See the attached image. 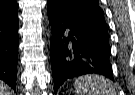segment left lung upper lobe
<instances>
[{
  "label": "left lung upper lobe",
  "mask_w": 135,
  "mask_h": 95,
  "mask_svg": "<svg viewBox=\"0 0 135 95\" xmlns=\"http://www.w3.org/2000/svg\"><path fill=\"white\" fill-rule=\"evenodd\" d=\"M47 7L72 20L107 28L98 0H48Z\"/></svg>",
  "instance_id": "5c2ea615"
}]
</instances>
